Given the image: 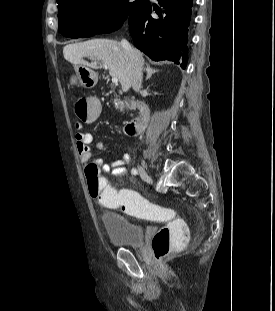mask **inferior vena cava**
I'll return each instance as SVG.
<instances>
[{"mask_svg": "<svg viewBox=\"0 0 275 311\" xmlns=\"http://www.w3.org/2000/svg\"><path fill=\"white\" fill-rule=\"evenodd\" d=\"M122 47L125 49L126 53L130 58V63L132 66L133 82L132 87L136 92H139L142 85V66L143 58L139 56L130 44L126 40L121 41Z\"/></svg>", "mask_w": 275, "mask_h": 311, "instance_id": "obj_1", "label": "inferior vena cava"}]
</instances>
